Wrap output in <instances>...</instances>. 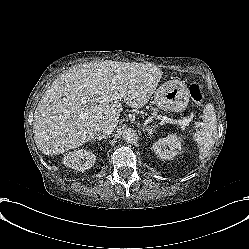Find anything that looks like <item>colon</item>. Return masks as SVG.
Listing matches in <instances>:
<instances>
[{
    "label": "colon",
    "instance_id": "obj_1",
    "mask_svg": "<svg viewBox=\"0 0 249 249\" xmlns=\"http://www.w3.org/2000/svg\"><path fill=\"white\" fill-rule=\"evenodd\" d=\"M189 94L191 99L199 104L203 102V93H202V89L200 87V85H198L197 83H193L189 86Z\"/></svg>",
    "mask_w": 249,
    "mask_h": 249
}]
</instances>
